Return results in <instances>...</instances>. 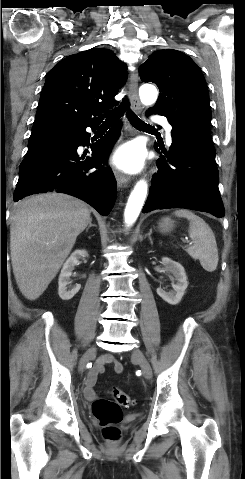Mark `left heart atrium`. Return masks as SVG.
Instances as JSON below:
<instances>
[{
  "instance_id": "39dd6f15",
  "label": "left heart atrium",
  "mask_w": 245,
  "mask_h": 479,
  "mask_svg": "<svg viewBox=\"0 0 245 479\" xmlns=\"http://www.w3.org/2000/svg\"><path fill=\"white\" fill-rule=\"evenodd\" d=\"M113 163L127 172H137L144 163L143 151L135 144H127L115 153Z\"/></svg>"
}]
</instances>
